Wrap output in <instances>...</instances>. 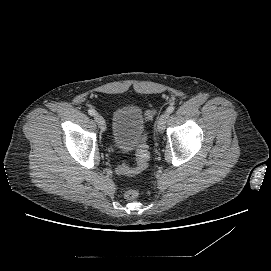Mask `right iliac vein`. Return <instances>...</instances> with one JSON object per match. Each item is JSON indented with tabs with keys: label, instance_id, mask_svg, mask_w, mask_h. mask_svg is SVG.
<instances>
[{
	"label": "right iliac vein",
	"instance_id": "63e3f726",
	"mask_svg": "<svg viewBox=\"0 0 271 271\" xmlns=\"http://www.w3.org/2000/svg\"><path fill=\"white\" fill-rule=\"evenodd\" d=\"M94 119H95L97 125L99 126V128L102 131H105L106 130V122H105L104 118L101 115L96 114Z\"/></svg>",
	"mask_w": 271,
	"mask_h": 271
}]
</instances>
